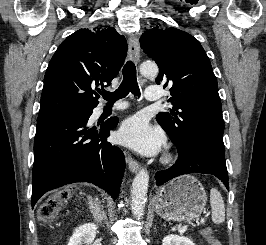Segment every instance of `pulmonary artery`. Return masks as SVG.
<instances>
[{
	"instance_id": "obj_1",
	"label": "pulmonary artery",
	"mask_w": 266,
	"mask_h": 245,
	"mask_svg": "<svg viewBox=\"0 0 266 245\" xmlns=\"http://www.w3.org/2000/svg\"><path fill=\"white\" fill-rule=\"evenodd\" d=\"M146 101H160L161 97L158 96V91L161 90L160 86H147L146 87ZM126 108V105L120 104V105H116L114 107V109L116 110H120V109H124Z\"/></svg>"
}]
</instances>
